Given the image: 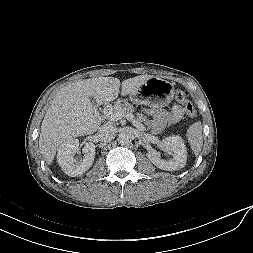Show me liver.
Wrapping results in <instances>:
<instances>
[{"mask_svg":"<svg viewBox=\"0 0 253 253\" xmlns=\"http://www.w3.org/2000/svg\"><path fill=\"white\" fill-rule=\"evenodd\" d=\"M151 75H139L120 83L114 77H96L70 83L54 96L41 124L40 152L47 164L54 160L56 151L65 141L94 133L100 126V115L89 97L98 104H108L119 94L135 92Z\"/></svg>","mask_w":253,"mask_h":253,"instance_id":"6515ba94","label":"liver"}]
</instances>
